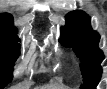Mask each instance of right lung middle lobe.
Here are the masks:
<instances>
[{"mask_svg":"<svg viewBox=\"0 0 107 89\" xmlns=\"http://www.w3.org/2000/svg\"><path fill=\"white\" fill-rule=\"evenodd\" d=\"M14 27L0 26V88L12 80L14 62L19 55L20 44Z\"/></svg>","mask_w":107,"mask_h":89,"instance_id":"dd1d6c3e","label":"right lung middle lobe"}]
</instances>
